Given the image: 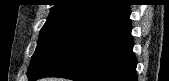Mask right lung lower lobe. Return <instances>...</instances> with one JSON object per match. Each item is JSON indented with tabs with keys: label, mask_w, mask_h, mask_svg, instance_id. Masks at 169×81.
Listing matches in <instances>:
<instances>
[{
	"label": "right lung lower lobe",
	"mask_w": 169,
	"mask_h": 81,
	"mask_svg": "<svg viewBox=\"0 0 169 81\" xmlns=\"http://www.w3.org/2000/svg\"><path fill=\"white\" fill-rule=\"evenodd\" d=\"M130 7L124 4L80 26L29 81L62 77L75 81H137Z\"/></svg>",
	"instance_id": "98d812e1"
}]
</instances>
